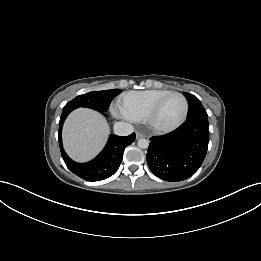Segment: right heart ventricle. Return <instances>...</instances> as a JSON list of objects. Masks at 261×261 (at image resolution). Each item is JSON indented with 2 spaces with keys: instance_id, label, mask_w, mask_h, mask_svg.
I'll return each mask as SVG.
<instances>
[{
  "instance_id": "1",
  "label": "right heart ventricle",
  "mask_w": 261,
  "mask_h": 261,
  "mask_svg": "<svg viewBox=\"0 0 261 261\" xmlns=\"http://www.w3.org/2000/svg\"><path fill=\"white\" fill-rule=\"evenodd\" d=\"M168 92L170 91L167 89L126 92L119 101L120 112L129 120L143 121L152 105Z\"/></svg>"
}]
</instances>
